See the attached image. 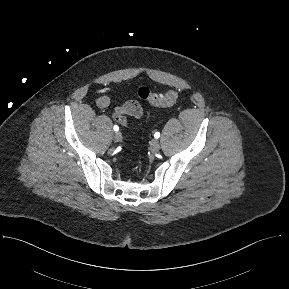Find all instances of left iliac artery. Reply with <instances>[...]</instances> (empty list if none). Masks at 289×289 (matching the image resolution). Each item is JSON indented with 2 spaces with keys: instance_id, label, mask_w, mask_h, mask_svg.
Segmentation results:
<instances>
[{
  "instance_id": "obj_1",
  "label": "left iliac artery",
  "mask_w": 289,
  "mask_h": 289,
  "mask_svg": "<svg viewBox=\"0 0 289 289\" xmlns=\"http://www.w3.org/2000/svg\"><path fill=\"white\" fill-rule=\"evenodd\" d=\"M154 137H155L156 139H158V138L160 137V133H159V132H156V133L154 134Z\"/></svg>"
}]
</instances>
